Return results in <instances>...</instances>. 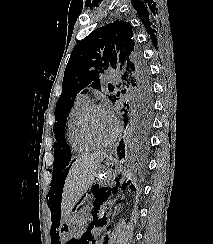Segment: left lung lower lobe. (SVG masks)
Segmentation results:
<instances>
[{"label": "left lung lower lobe", "instance_id": "left-lung-lower-lobe-1", "mask_svg": "<svg viewBox=\"0 0 213 244\" xmlns=\"http://www.w3.org/2000/svg\"><path fill=\"white\" fill-rule=\"evenodd\" d=\"M122 111H124L125 123L128 124L127 148L135 155H143L149 147L152 113L149 114L143 109L129 108L128 106ZM125 144L121 140L117 147L120 159L125 156Z\"/></svg>", "mask_w": 213, "mask_h": 244}]
</instances>
